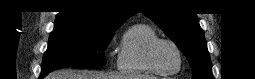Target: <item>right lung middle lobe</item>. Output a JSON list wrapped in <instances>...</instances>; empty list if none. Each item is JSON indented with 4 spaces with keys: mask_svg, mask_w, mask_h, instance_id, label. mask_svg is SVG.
<instances>
[{
    "mask_svg": "<svg viewBox=\"0 0 255 79\" xmlns=\"http://www.w3.org/2000/svg\"><path fill=\"white\" fill-rule=\"evenodd\" d=\"M113 34L114 30L55 26L43 57L41 77L67 66H104V50Z\"/></svg>",
    "mask_w": 255,
    "mask_h": 79,
    "instance_id": "dd1d6c3e",
    "label": "right lung middle lobe"
}]
</instances>
